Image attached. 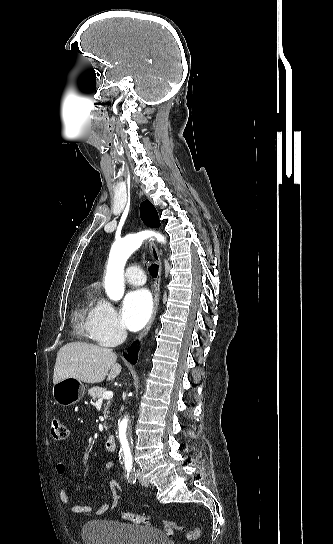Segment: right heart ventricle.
<instances>
[{
    "mask_svg": "<svg viewBox=\"0 0 333 544\" xmlns=\"http://www.w3.org/2000/svg\"><path fill=\"white\" fill-rule=\"evenodd\" d=\"M93 308H91L90 310H82V312H81V318L84 320L85 328H86L87 320H88V318L90 316V313L93 310ZM86 330H87V328H86Z\"/></svg>",
    "mask_w": 333,
    "mask_h": 544,
    "instance_id": "obj_1",
    "label": "right heart ventricle"
}]
</instances>
